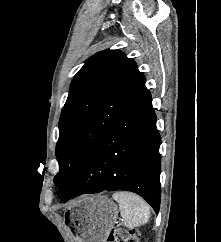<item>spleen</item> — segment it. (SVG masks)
<instances>
[{"instance_id":"spleen-1","label":"spleen","mask_w":221,"mask_h":242,"mask_svg":"<svg viewBox=\"0 0 221 242\" xmlns=\"http://www.w3.org/2000/svg\"><path fill=\"white\" fill-rule=\"evenodd\" d=\"M112 197L118 202L121 216L128 228L139 227L148 222L150 209L141 197L123 191L114 193Z\"/></svg>"}]
</instances>
